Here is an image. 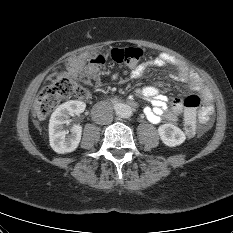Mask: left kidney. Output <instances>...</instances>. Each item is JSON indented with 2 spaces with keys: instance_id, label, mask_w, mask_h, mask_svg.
Wrapping results in <instances>:
<instances>
[{
  "instance_id": "1",
  "label": "left kidney",
  "mask_w": 233,
  "mask_h": 233,
  "mask_svg": "<svg viewBox=\"0 0 233 233\" xmlns=\"http://www.w3.org/2000/svg\"><path fill=\"white\" fill-rule=\"evenodd\" d=\"M158 134L162 142L169 147L181 145L186 139L184 132L170 123L159 126Z\"/></svg>"
}]
</instances>
